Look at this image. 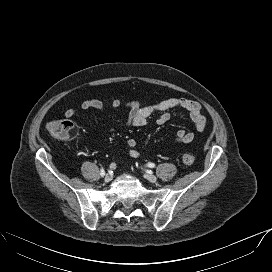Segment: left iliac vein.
<instances>
[{
  "label": "left iliac vein",
  "mask_w": 272,
  "mask_h": 272,
  "mask_svg": "<svg viewBox=\"0 0 272 272\" xmlns=\"http://www.w3.org/2000/svg\"><path fill=\"white\" fill-rule=\"evenodd\" d=\"M144 177L151 183H155L157 181V177L152 174H146Z\"/></svg>",
  "instance_id": "1"
}]
</instances>
